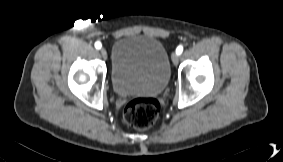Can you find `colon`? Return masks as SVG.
Here are the masks:
<instances>
[{
	"label": "colon",
	"instance_id": "obj_1",
	"mask_svg": "<svg viewBox=\"0 0 283 162\" xmlns=\"http://www.w3.org/2000/svg\"><path fill=\"white\" fill-rule=\"evenodd\" d=\"M160 104L153 98H135L130 100L123 111L124 121L132 127L144 130L157 120Z\"/></svg>",
	"mask_w": 283,
	"mask_h": 162
}]
</instances>
